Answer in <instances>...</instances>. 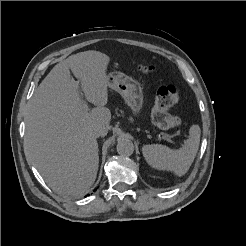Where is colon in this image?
Segmentation results:
<instances>
[{"mask_svg": "<svg viewBox=\"0 0 246 246\" xmlns=\"http://www.w3.org/2000/svg\"><path fill=\"white\" fill-rule=\"evenodd\" d=\"M154 67L149 64H139L138 70L144 74L153 71ZM180 100L178 89L174 85H164L157 89L154 106L151 111L153 123L162 129H173L181 125V119L171 116L168 111Z\"/></svg>", "mask_w": 246, "mask_h": 246, "instance_id": "colon-1", "label": "colon"}]
</instances>
